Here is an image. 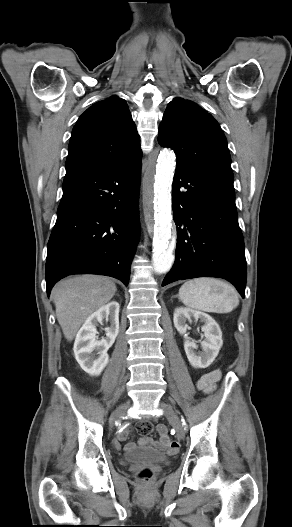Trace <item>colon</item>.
Masks as SVG:
<instances>
[{"instance_id": "1", "label": "colon", "mask_w": 292, "mask_h": 527, "mask_svg": "<svg viewBox=\"0 0 292 527\" xmlns=\"http://www.w3.org/2000/svg\"><path fill=\"white\" fill-rule=\"evenodd\" d=\"M153 429V425L151 422L149 421H143V422H140L138 425H137V430L140 434L142 435H147L149 434ZM158 429V428H157ZM138 477L142 480V481H149L151 478H152V472L151 470L145 468V469H142L139 474H138Z\"/></svg>"}]
</instances>
